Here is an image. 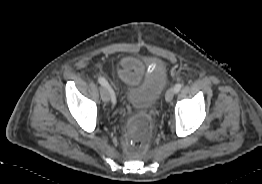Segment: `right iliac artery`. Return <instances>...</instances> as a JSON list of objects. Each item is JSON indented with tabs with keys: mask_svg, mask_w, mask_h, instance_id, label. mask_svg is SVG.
<instances>
[{
	"mask_svg": "<svg viewBox=\"0 0 262 184\" xmlns=\"http://www.w3.org/2000/svg\"><path fill=\"white\" fill-rule=\"evenodd\" d=\"M98 82H99L102 86L107 87V88H110V90H111V96H112V101H113V103H115V102H116V98H115L114 92H113V90L111 89V87L109 86V83L107 82V80L104 79L103 77H99V78H98Z\"/></svg>",
	"mask_w": 262,
	"mask_h": 184,
	"instance_id": "right-iliac-artery-1",
	"label": "right iliac artery"
}]
</instances>
